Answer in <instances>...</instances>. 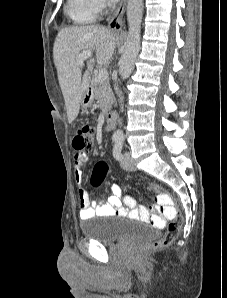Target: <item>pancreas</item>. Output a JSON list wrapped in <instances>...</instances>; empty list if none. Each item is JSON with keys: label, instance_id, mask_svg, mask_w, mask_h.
<instances>
[{"label": "pancreas", "instance_id": "pancreas-1", "mask_svg": "<svg viewBox=\"0 0 227 298\" xmlns=\"http://www.w3.org/2000/svg\"><path fill=\"white\" fill-rule=\"evenodd\" d=\"M91 87L93 97L96 99L97 104L104 113H107L115 102V97L110 88L109 81L106 79L103 82H98L96 76H94Z\"/></svg>", "mask_w": 227, "mask_h": 298}]
</instances>
